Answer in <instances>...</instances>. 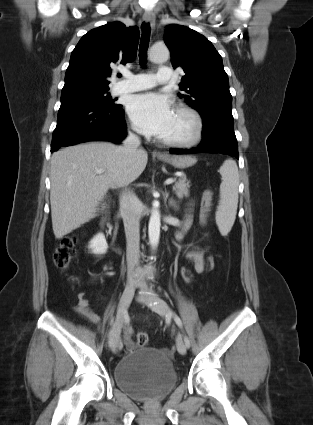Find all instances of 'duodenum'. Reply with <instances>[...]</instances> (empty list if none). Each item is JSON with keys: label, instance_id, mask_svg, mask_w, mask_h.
<instances>
[{"label": "duodenum", "instance_id": "duodenum-1", "mask_svg": "<svg viewBox=\"0 0 313 425\" xmlns=\"http://www.w3.org/2000/svg\"><path fill=\"white\" fill-rule=\"evenodd\" d=\"M109 222V210L106 211L103 219V227L107 228Z\"/></svg>", "mask_w": 313, "mask_h": 425}]
</instances>
